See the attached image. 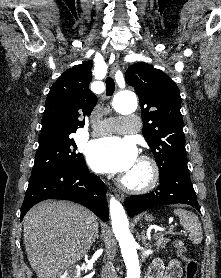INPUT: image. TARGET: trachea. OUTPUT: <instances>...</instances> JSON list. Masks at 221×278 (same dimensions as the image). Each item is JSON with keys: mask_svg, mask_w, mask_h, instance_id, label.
Here are the masks:
<instances>
[{"mask_svg": "<svg viewBox=\"0 0 221 278\" xmlns=\"http://www.w3.org/2000/svg\"><path fill=\"white\" fill-rule=\"evenodd\" d=\"M105 82H106V94L107 96H111L115 91V82L111 77H107Z\"/></svg>", "mask_w": 221, "mask_h": 278, "instance_id": "obj_1", "label": "trachea"}]
</instances>
